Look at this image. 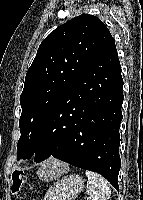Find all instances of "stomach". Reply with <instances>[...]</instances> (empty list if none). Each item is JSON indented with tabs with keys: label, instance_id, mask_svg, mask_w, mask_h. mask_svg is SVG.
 I'll use <instances>...</instances> for the list:
<instances>
[{
	"label": "stomach",
	"instance_id": "0dacf381",
	"mask_svg": "<svg viewBox=\"0 0 143 200\" xmlns=\"http://www.w3.org/2000/svg\"><path fill=\"white\" fill-rule=\"evenodd\" d=\"M60 167L50 163L45 171H51L53 174ZM56 177V176H55ZM84 187V179L77 175L71 174L58 179L47 191L43 200H74Z\"/></svg>",
	"mask_w": 143,
	"mask_h": 200
}]
</instances>
